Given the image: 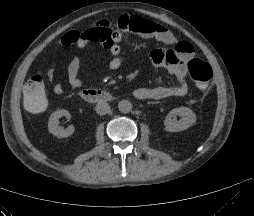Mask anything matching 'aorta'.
I'll return each mask as SVG.
<instances>
[{"instance_id": "1", "label": "aorta", "mask_w": 254, "mask_h": 216, "mask_svg": "<svg viewBox=\"0 0 254 216\" xmlns=\"http://www.w3.org/2000/svg\"><path fill=\"white\" fill-rule=\"evenodd\" d=\"M119 111L122 113H128L132 110V103L129 100H121L118 103Z\"/></svg>"}]
</instances>
